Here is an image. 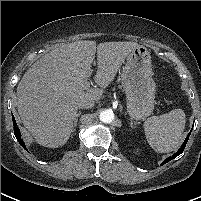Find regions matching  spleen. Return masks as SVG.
Wrapping results in <instances>:
<instances>
[{"label": "spleen", "instance_id": "spleen-1", "mask_svg": "<svg viewBox=\"0 0 201 201\" xmlns=\"http://www.w3.org/2000/svg\"><path fill=\"white\" fill-rule=\"evenodd\" d=\"M185 122L182 109L148 118L144 123V131L151 148L159 153L176 150L183 137Z\"/></svg>", "mask_w": 201, "mask_h": 201}]
</instances>
